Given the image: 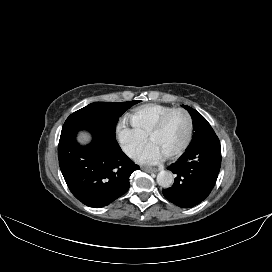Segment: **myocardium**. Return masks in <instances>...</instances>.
<instances>
[{
  "label": "myocardium",
  "instance_id": "1",
  "mask_svg": "<svg viewBox=\"0 0 272 272\" xmlns=\"http://www.w3.org/2000/svg\"><path fill=\"white\" fill-rule=\"evenodd\" d=\"M175 113H183L188 121V132H187V137L184 141V143L174 152L166 155L165 157L167 159H175L179 157L181 154L185 152V150L188 148L190 145L192 138H193V132H194V123H193V118L189 111H187L184 108H173L172 110L168 111L167 113L163 114L157 122L153 125L151 130L148 133V139L151 140L152 136L159 132L167 122V120Z\"/></svg>",
  "mask_w": 272,
  "mask_h": 272
}]
</instances>
